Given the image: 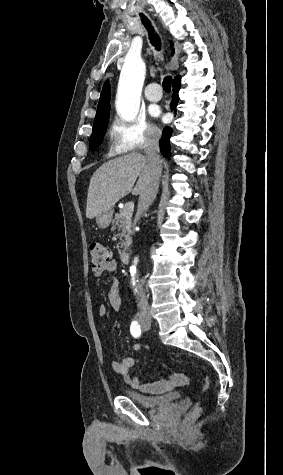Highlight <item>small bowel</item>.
I'll return each instance as SVG.
<instances>
[{"label": "small bowel", "instance_id": "c3829d8e", "mask_svg": "<svg viewBox=\"0 0 283 475\" xmlns=\"http://www.w3.org/2000/svg\"><path fill=\"white\" fill-rule=\"evenodd\" d=\"M117 268V262L115 260H110L107 263L101 265H94L92 263L90 267V273L94 277H100L106 272H114ZM108 300L111 307L114 310H119L122 307V296H121V283L118 279H114L112 287L108 294ZM108 313L107 307L104 304H101L98 307V315L100 317H105ZM135 360L132 357H125L120 361H113L112 368L115 373L121 375L124 378V381L133 388H143L142 382L135 375L130 373V369L134 366ZM188 373L178 371L172 373L168 378L162 379L159 381L160 387L162 390L166 391L177 386L184 385L182 379H187Z\"/></svg>", "mask_w": 283, "mask_h": 475}]
</instances>
